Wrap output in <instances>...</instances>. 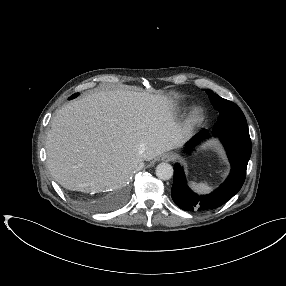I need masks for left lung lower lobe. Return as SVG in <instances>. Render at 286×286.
Here are the masks:
<instances>
[{"label": "left lung lower lobe", "instance_id": "1", "mask_svg": "<svg viewBox=\"0 0 286 286\" xmlns=\"http://www.w3.org/2000/svg\"><path fill=\"white\" fill-rule=\"evenodd\" d=\"M213 134L219 137L226 149L231 163V172L217 190L208 195L198 196L187 186L182 167L175 164L171 196L183 210L204 211L218 208L233 197L244 183L247 164L251 156V139L246 120L220 119L213 127ZM208 137V130L203 129L193 136L185 146L190 148Z\"/></svg>", "mask_w": 286, "mask_h": 286}]
</instances>
